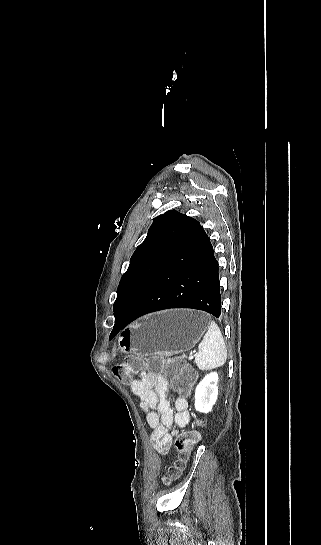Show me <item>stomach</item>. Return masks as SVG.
I'll return each instance as SVG.
<instances>
[{"label":"stomach","mask_w":321,"mask_h":545,"mask_svg":"<svg viewBox=\"0 0 321 545\" xmlns=\"http://www.w3.org/2000/svg\"><path fill=\"white\" fill-rule=\"evenodd\" d=\"M208 327L206 313L193 309H170L137 319L121 331L118 349L124 355H155L164 357L190 351Z\"/></svg>","instance_id":"0dacf381"}]
</instances>
